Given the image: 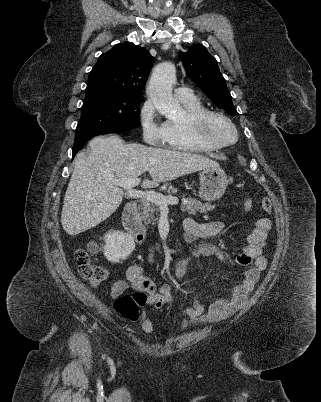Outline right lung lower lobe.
Segmentation results:
<instances>
[{"instance_id":"98d812e1","label":"right lung lower lobe","mask_w":321,"mask_h":402,"mask_svg":"<svg viewBox=\"0 0 321 402\" xmlns=\"http://www.w3.org/2000/svg\"><path fill=\"white\" fill-rule=\"evenodd\" d=\"M131 128L126 126H112V127H105V128H96L90 130L79 131L75 133V142L72 149L73 158L76 153L81 150L86 142L97 135L106 134V133H114V132H121L130 130Z\"/></svg>"}]
</instances>
